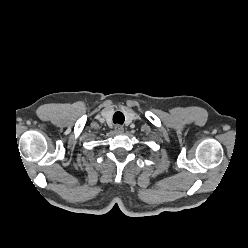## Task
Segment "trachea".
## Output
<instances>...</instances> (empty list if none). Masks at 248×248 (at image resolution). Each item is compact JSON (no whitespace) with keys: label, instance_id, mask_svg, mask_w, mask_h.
<instances>
[{"label":"trachea","instance_id":"trachea-1","mask_svg":"<svg viewBox=\"0 0 248 248\" xmlns=\"http://www.w3.org/2000/svg\"><path fill=\"white\" fill-rule=\"evenodd\" d=\"M124 120H125V117H124L122 112L118 111L113 115V122L114 123L123 124Z\"/></svg>","mask_w":248,"mask_h":248}]
</instances>
